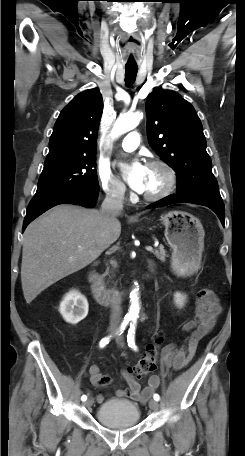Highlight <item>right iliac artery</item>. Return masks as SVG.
<instances>
[{"label": "right iliac artery", "mask_w": 245, "mask_h": 456, "mask_svg": "<svg viewBox=\"0 0 245 456\" xmlns=\"http://www.w3.org/2000/svg\"><path fill=\"white\" fill-rule=\"evenodd\" d=\"M129 321H130L129 319H124L116 334H118V335L122 334L124 332V330L126 329ZM110 339H111V336L104 337L103 339H101V341L99 343V346L101 348L105 347L109 343ZM81 400L82 401H86L87 400V396L86 395H82Z\"/></svg>", "instance_id": "obj_1"}]
</instances>
